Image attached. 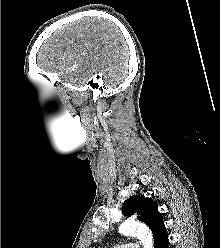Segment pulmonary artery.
I'll list each match as a JSON object with an SVG mask.
<instances>
[{
    "mask_svg": "<svg viewBox=\"0 0 220 248\" xmlns=\"http://www.w3.org/2000/svg\"><path fill=\"white\" fill-rule=\"evenodd\" d=\"M114 248H139V246L137 244L130 243V244L118 245Z\"/></svg>",
    "mask_w": 220,
    "mask_h": 248,
    "instance_id": "obj_1",
    "label": "pulmonary artery"
}]
</instances>
